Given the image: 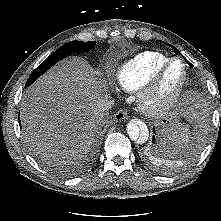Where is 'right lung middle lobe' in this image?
<instances>
[{
	"label": "right lung middle lobe",
	"instance_id": "1",
	"mask_svg": "<svg viewBox=\"0 0 221 221\" xmlns=\"http://www.w3.org/2000/svg\"><path fill=\"white\" fill-rule=\"evenodd\" d=\"M95 41L81 42V41H71L64 44L56 52L50 55L41 65H39L30 75L27 80L26 86L32 84L39 76H41L45 71L52 67L56 62L65 58L67 55L72 53H79L81 51H86L95 46Z\"/></svg>",
	"mask_w": 221,
	"mask_h": 221
}]
</instances>
